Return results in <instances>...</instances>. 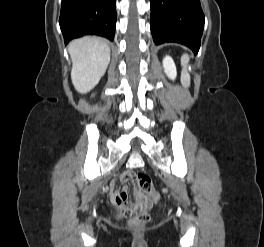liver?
<instances>
[{"instance_id":"obj_1","label":"liver","mask_w":264,"mask_h":247,"mask_svg":"<svg viewBox=\"0 0 264 247\" xmlns=\"http://www.w3.org/2000/svg\"><path fill=\"white\" fill-rule=\"evenodd\" d=\"M68 50L72 59L71 79L79 93L92 90L105 74L110 49L100 38L83 37L72 41Z\"/></svg>"}]
</instances>
